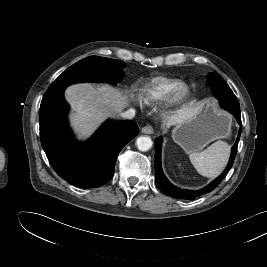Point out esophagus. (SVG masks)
<instances>
[{
	"label": "esophagus",
	"mask_w": 267,
	"mask_h": 267,
	"mask_svg": "<svg viewBox=\"0 0 267 267\" xmlns=\"http://www.w3.org/2000/svg\"><path fill=\"white\" fill-rule=\"evenodd\" d=\"M141 132L144 134H152L153 133V127L149 124L142 127Z\"/></svg>",
	"instance_id": "34e87169"
}]
</instances>
